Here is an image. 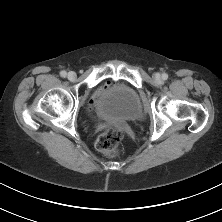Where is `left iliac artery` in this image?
Masks as SVG:
<instances>
[{"label":"left iliac artery","mask_w":222,"mask_h":222,"mask_svg":"<svg viewBox=\"0 0 222 222\" xmlns=\"http://www.w3.org/2000/svg\"><path fill=\"white\" fill-rule=\"evenodd\" d=\"M162 78H163V80H167V79H168V75H167L166 73H164V74L162 75Z\"/></svg>","instance_id":"44dca946"}]
</instances>
